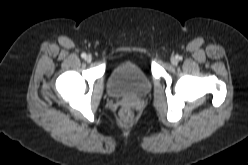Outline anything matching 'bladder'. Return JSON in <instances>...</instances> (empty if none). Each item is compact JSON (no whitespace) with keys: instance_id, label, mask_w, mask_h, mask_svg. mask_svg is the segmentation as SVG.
<instances>
[{"instance_id":"1","label":"bladder","mask_w":248,"mask_h":165,"mask_svg":"<svg viewBox=\"0 0 248 165\" xmlns=\"http://www.w3.org/2000/svg\"><path fill=\"white\" fill-rule=\"evenodd\" d=\"M151 86L146 72L131 61L116 64L107 78V91L114 98L141 99L150 93Z\"/></svg>"}]
</instances>
